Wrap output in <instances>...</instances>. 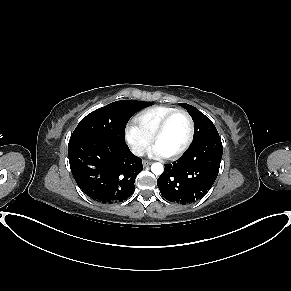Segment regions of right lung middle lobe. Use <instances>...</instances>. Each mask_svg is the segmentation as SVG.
Returning <instances> with one entry per match:
<instances>
[{
	"mask_svg": "<svg viewBox=\"0 0 291 291\" xmlns=\"http://www.w3.org/2000/svg\"><path fill=\"white\" fill-rule=\"evenodd\" d=\"M150 105L148 102L116 101L101 107L80 121L70 140L94 137L125 142L128 120L135 112Z\"/></svg>",
	"mask_w": 291,
	"mask_h": 291,
	"instance_id": "obj_1",
	"label": "right lung middle lobe"
}]
</instances>
